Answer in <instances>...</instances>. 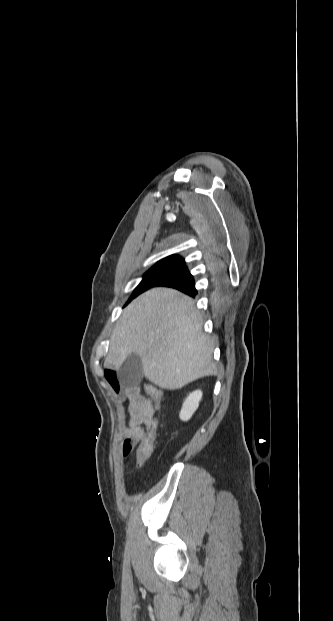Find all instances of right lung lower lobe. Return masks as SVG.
<instances>
[{
	"mask_svg": "<svg viewBox=\"0 0 333 621\" xmlns=\"http://www.w3.org/2000/svg\"><path fill=\"white\" fill-rule=\"evenodd\" d=\"M154 286L172 287L190 295L191 297H195L197 294L193 276L190 274L185 265L172 274L161 278Z\"/></svg>",
	"mask_w": 333,
	"mask_h": 621,
	"instance_id": "1",
	"label": "right lung lower lobe"
}]
</instances>
